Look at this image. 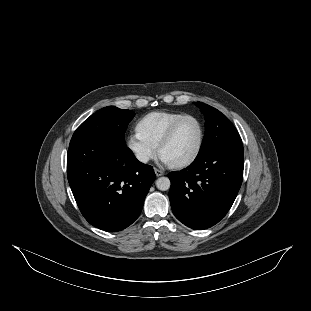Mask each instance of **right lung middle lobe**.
<instances>
[{
  "label": "right lung middle lobe",
  "mask_w": 311,
  "mask_h": 311,
  "mask_svg": "<svg viewBox=\"0 0 311 311\" xmlns=\"http://www.w3.org/2000/svg\"><path fill=\"white\" fill-rule=\"evenodd\" d=\"M135 113L114 106L104 107L87 118L74 132L70 143L82 138L102 135L125 142L124 134Z\"/></svg>",
  "instance_id": "1"
}]
</instances>
